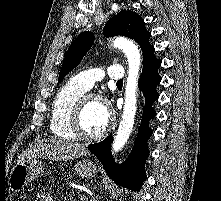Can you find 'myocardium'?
<instances>
[{
  "label": "myocardium",
  "instance_id": "1",
  "mask_svg": "<svg viewBox=\"0 0 221 201\" xmlns=\"http://www.w3.org/2000/svg\"><path fill=\"white\" fill-rule=\"evenodd\" d=\"M91 101H99L101 102L107 109L109 114V123L108 125L98 134L95 135H88L83 131L82 128V116L83 112L87 106V104ZM115 124V117L112 112L111 104L109 100L97 93H86L84 94L76 103L72 118H71V130L76 138L84 141H97L105 137L114 127Z\"/></svg>",
  "mask_w": 221,
  "mask_h": 201
}]
</instances>
